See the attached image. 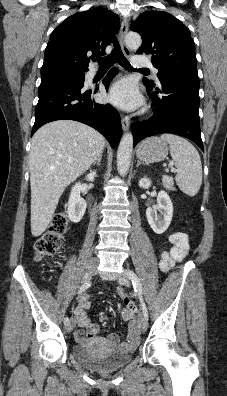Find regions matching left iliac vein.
Wrapping results in <instances>:
<instances>
[{"instance_id":"obj_1","label":"left iliac vein","mask_w":227,"mask_h":396,"mask_svg":"<svg viewBox=\"0 0 227 396\" xmlns=\"http://www.w3.org/2000/svg\"><path fill=\"white\" fill-rule=\"evenodd\" d=\"M118 282L121 285L124 286H129L130 285V278L128 277L126 271H124L119 277H118ZM139 326L142 332H145L147 330L148 327V321L144 315V313L142 312L140 317H139Z\"/></svg>"}]
</instances>
